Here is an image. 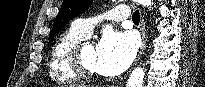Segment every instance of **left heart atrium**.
Listing matches in <instances>:
<instances>
[{
  "mask_svg": "<svg viewBox=\"0 0 205 87\" xmlns=\"http://www.w3.org/2000/svg\"><path fill=\"white\" fill-rule=\"evenodd\" d=\"M137 49L135 36L130 32L108 31L96 46V71L116 76L132 63Z\"/></svg>",
  "mask_w": 205,
  "mask_h": 87,
  "instance_id": "left-heart-atrium-1",
  "label": "left heart atrium"
}]
</instances>
